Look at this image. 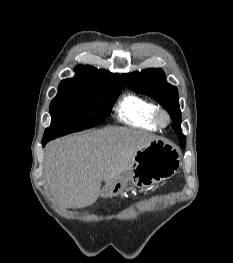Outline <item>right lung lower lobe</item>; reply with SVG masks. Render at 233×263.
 <instances>
[{
    "instance_id": "98d812e1",
    "label": "right lung lower lobe",
    "mask_w": 233,
    "mask_h": 263,
    "mask_svg": "<svg viewBox=\"0 0 233 263\" xmlns=\"http://www.w3.org/2000/svg\"><path fill=\"white\" fill-rule=\"evenodd\" d=\"M50 140H42V145L45 146L47 142H49Z\"/></svg>"
}]
</instances>
